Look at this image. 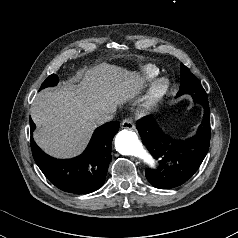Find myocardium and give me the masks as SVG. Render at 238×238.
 Listing matches in <instances>:
<instances>
[{
    "mask_svg": "<svg viewBox=\"0 0 238 238\" xmlns=\"http://www.w3.org/2000/svg\"><path fill=\"white\" fill-rule=\"evenodd\" d=\"M167 91V83L165 80L160 79L155 81L149 88L148 93L145 97V106L149 107L154 105L157 101L161 99V97Z\"/></svg>",
    "mask_w": 238,
    "mask_h": 238,
    "instance_id": "1",
    "label": "myocardium"
}]
</instances>
